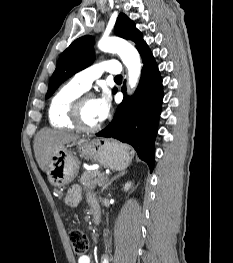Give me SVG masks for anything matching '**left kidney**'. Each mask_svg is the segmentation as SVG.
Listing matches in <instances>:
<instances>
[{
    "label": "left kidney",
    "instance_id": "5707ae66",
    "mask_svg": "<svg viewBox=\"0 0 233 263\" xmlns=\"http://www.w3.org/2000/svg\"><path fill=\"white\" fill-rule=\"evenodd\" d=\"M130 188H131V182L126 183L124 186V190L128 191Z\"/></svg>",
    "mask_w": 233,
    "mask_h": 263
}]
</instances>
